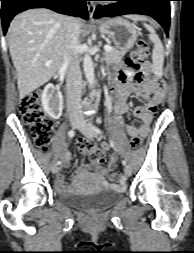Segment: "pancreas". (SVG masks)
Segmentation results:
<instances>
[{
	"label": "pancreas",
	"instance_id": "obj_1",
	"mask_svg": "<svg viewBox=\"0 0 194 253\" xmlns=\"http://www.w3.org/2000/svg\"><path fill=\"white\" fill-rule=\"evenodd\" d=\"M125 52L112 48L110 52L105 51L104 59L108 64L118 63L122 60Z\"/></svg>",
	"mask_w": 194,
	"mask_h": 253
}]
</instances>
